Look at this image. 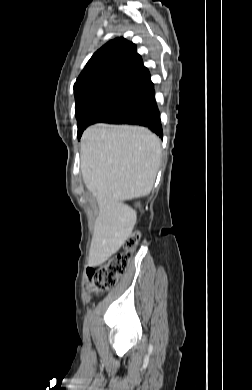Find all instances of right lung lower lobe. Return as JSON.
<instances>
[{
  "label": "right lung lower lobe",
  "instance_id": "obj_1",
  "mask_svg": "<svg viewBox=\"0 0 252 390\" xmlns=\"http://www.w3.org/2000/svg\"><path fill=\"white\" fill-rule=\"evenodd\" d=\"M113 124H135L148 127L160 137L163 136L160 113L155 101V92L133 103L127 109L105 121Z\"/></svg>",
  "mask_w": 252,
  "mask_h": 390
}]
</instances>
